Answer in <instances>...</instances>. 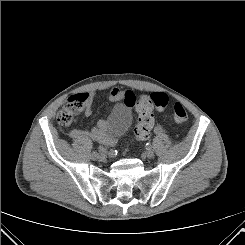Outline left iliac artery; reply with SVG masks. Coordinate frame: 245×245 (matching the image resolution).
<instances>
[{
  "instance_id": "44dca946",
  "label": "left iliac artery",
  "mask_w": 245,
  "mask_h": 245,
  "mask_svg": "<svg viewBox=\"0 0 245 245\" xmlns=\"http://www.w3.org/2000/svg\"><path fill=\"white\" fill-rule=\"evenodd\" d=\"M155 132L156 133H161L162 132V127L161 126H156L155 127Z\"/></svg>"
}]
</instances>
